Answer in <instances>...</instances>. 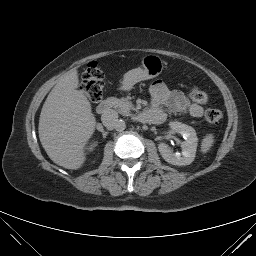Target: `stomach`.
<instances>
[{"instance_id": "obj_1", "label": "stomach", "mask_w": 256, "mask_h": 256, "mask_svg": "<svg viewBox=\"0 0 256 256\" xmlns=\"http://www.w3.org/2000/svg\"><path fill=\"white\" fill-rule=\"evenodd\" d=\"M164 68L163 60L157 55H146L142 58V67L132 69L124 74L120 89L129 91L143 80L157 77Z\"/></svg>"}]
</instances>
